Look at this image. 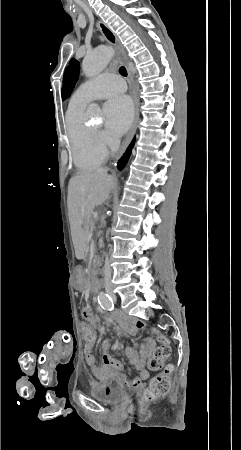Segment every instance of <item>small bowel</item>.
I'll use <instances>...</instances> for the list:
<instances>
[{"label": "small bowel", "mask_w": 241, "mask_h": 450, "mask_svg": "<svg viewBox=\"0 0 241 450\" xmlns=\"http://www.w3.org/2000/svg\"><path fill=\"white\" fill-rule=\"evenodd\" d=\"M82 317L85 319V324H92L94 326V331L96 333V318L92 312L87 309L82 310ZM84 324V325H85ZM83 325V326H84ZM150 330L160 342L168 340L160 334L155 329H149L148 325L142 320H135L133 322H125L122 325V332L125 335L133 336L138 331H148ZM82 333H85L82 328ZM157 344L154 338L147 337L143 340L139 352H137L133 347H127L124 350V354L128 359L129 363L133 365L138 371L136 377H130L122 372V364L115 360L107 351V345L103 347V353L101 355L102 364L98 365L96 363L95 356H84L85 362L88 366L90 373L97 379L104 382H112L119 385H124L131 389L138 388L141 384L149 379V371L146 366L149 360L154 355Z\"/></svg>", "instance_id": "1"}]
</instances>
